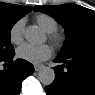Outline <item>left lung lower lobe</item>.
Here are the masks:
<instances>
[{
	"label": "left lung lower lobe",
	"mask_w": 95,
	"mask_h": 95,
	"mask_svg": "<svg viewBox=\"0 0 95 95\" xmlns=\"http://www.w3.org/2000/svg\"><path fill=\"white\" fill-rule=\"evenodd\" d=\"M55 80L45 88L48 95H95V52L58 56Z\"/></svg>",
	"instance_id": "left-lung-lower-lobe-1"
}]
</instances>
